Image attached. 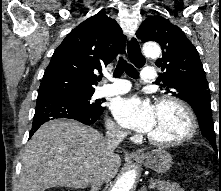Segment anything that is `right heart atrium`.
Listing matches in <instances>:
<instances>
[{
    "label": "right heart atrium",
    "instance_id": "right-heart-atrium-1",
    "mask_svg": "<svg viewBox=\"0 0 221 191\" xmlns=\"http://www.w3.org/2000/svg\"><path fill=\"white\" fill-rule=\"evenodd\" d=\"M107 129L112 135H115L121 138L127 135L126 130L119 123L111 119L108 120L107 122Z\"/></svg>",
    "mask_w": 221,
    "mask_h": 191
}]
</instances>
